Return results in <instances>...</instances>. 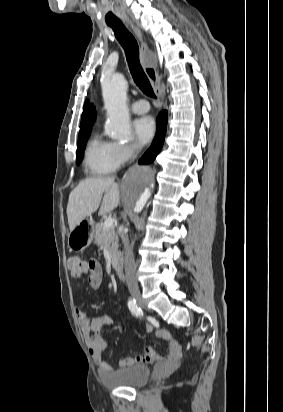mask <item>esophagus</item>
Listing matches in <instances>:
<instances>
[{
	"label": "esophagus",
	"mask_w": 283,
	"mask_h": 412,
	"mask_svg": "<svg viewBox=\"0 0 283 412\" xmlns=\"http://www.w3.org/2000/svg\"><path fill=\"white\" fill-rule=\"evenodd\" d=\"M126 23L133 29L135 35L140 41V56H141V63H142L143 69L148 79L153 84L156 95L158 96L159 99H162L160 81L158 80V73L156 71V63L148 57V52H149L148 46L146 42L143 40L140 30L131 21L128 20L126 21Z\"/></svg>",
	"instance_id": "obj_1"
}]
</instances>
